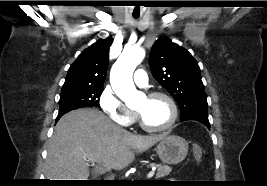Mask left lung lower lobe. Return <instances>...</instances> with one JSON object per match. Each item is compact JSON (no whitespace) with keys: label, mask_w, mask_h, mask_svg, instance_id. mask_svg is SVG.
I'll return each instance as SVG.
<instances>
[{"label":"left lung lower lobe","mask_w":267,"mask_h":186,"mask_svg":"<svg viewBox=\"0 0 267 186\" xmlns=\"http://www.w3.org/2000/svg\"><path fill=\"white\" fill-rule=\"evenodd\" d=\"M186 120H195V121H198L204 124L208 129L210 128L209 120H203V119H186ZM186 120H183V121H186Z\"/></svg>","instance_id":"obj_1"}]
</instances>
